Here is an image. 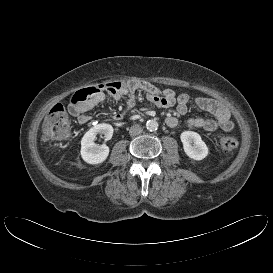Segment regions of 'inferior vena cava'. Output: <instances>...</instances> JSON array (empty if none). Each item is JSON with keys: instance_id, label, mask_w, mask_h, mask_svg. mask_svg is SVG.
I'll return each instance as SVG.
<instances>
[{"instance_id": "602c4592", "label": "inferior vena cava", "mask_w": 273, "mask_h": 273, "mask_svg": "<svg viewBox=\"0 0 273 273\" xmlns=\"http://www.w3.org/2000/svg\"><path fill=\"white\" fill-rule=\"evenodd\" d=\"M142 131H143L142 127L138 124H135L130 127L129 133L131 136H137V135L141 134Z\"/></svg>"}]
</instances>
